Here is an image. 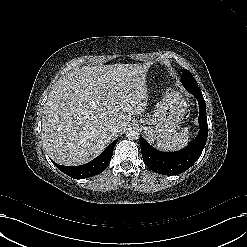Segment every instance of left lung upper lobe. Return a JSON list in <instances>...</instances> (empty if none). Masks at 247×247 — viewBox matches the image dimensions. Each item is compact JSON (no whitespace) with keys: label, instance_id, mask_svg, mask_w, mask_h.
<instances>
[{"label":"left lung upper lobe","instance_id":"obj_1","mask_svg":"<svg viewBox=\"0 0 247 247\" xmlns=\"http://www.w3.org/2000/svg\"><path fill=\"white\" fill-rule=\"evenodd\" d=\"M181 82L183 83V85H198L193 75L186 69H183Z\"/></svg>","mask_w":247,"mask_h":247}]
</instances>
